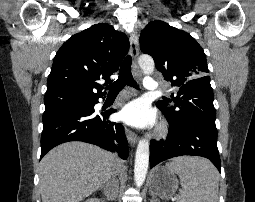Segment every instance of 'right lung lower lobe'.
<instances>
[{
	"mask_svg": "<svg viewBox=\"0 0 255 202\" xmlns=\"http://www.w3.org/2000/svg\"><path fill=\"white\" fill-rule=\"evenodd\" d=\"M97 101L44 112L41 158L53 147L68 141H83L103 149L116 150L122 159L128 156L124 128L107 120L115 110L94 113ZM119 143V147L114 144Z\"/></svg>",
	"mask_w": 255,
	"mask_h": 202,
	"instance_id": "right-lung-lower-lobe-1",
	"label": "right lung lower lobe"
}]
</instances>
